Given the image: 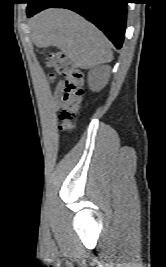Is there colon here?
Wrapping results in <instances>:
<instances>
[{
  "label": "colon",
  "mask_w": 166,
  "mask_h": 267,
  "mask_svg": "<svg viewBox=\"0 0 166 267\" xmlns=\"http://www.w3.org/2000/svg\"><path fill=\"white\" fill-rule=\"evenodd\" d=\"M46 64L64 78L62 105L59 113V130L68 132L74 126V120L79 112L85 94L84 74L62 52L46 53Z\"/></svg>",
  "instance_id": "obj_1"
}]
</instances>
